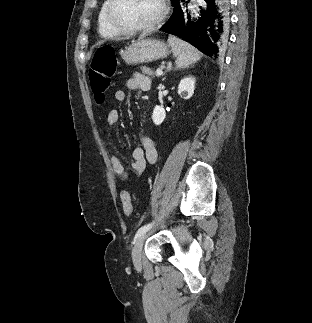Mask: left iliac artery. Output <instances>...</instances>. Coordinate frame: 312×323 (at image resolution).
Wrapping results in <instances>:
<instances>
[{"label": "left iliac artery", "mask_w": 312, "mask_h": 323, "mask_svg": "<svg viewBox=\"0 0 312 323\" xmlns=\"http://www.w3.org/2000/svg\"><path fill=\"white\" fill-rule=\"evenodd\" d=\"M152 225H153V224H152V223H150V224H147V225L142 226V227L137 231L135 238H137V237H139L141 234H143V233L147 232V231L152 227Z\"/></svg>", "instance_id": "1"}]
</instances>
